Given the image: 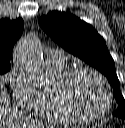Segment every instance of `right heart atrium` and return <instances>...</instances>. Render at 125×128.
Returning a JSON list of instances; mask_svg holds the SVG:
<instances>
[{
	"mask_svg": "<svg viewBox=\"0 0 125 128\" xmlns=\"http://www.w3.org/2000/svg\"><path fill=\"white\" fill-rule=\"evenodd\" d=\"M13 106L20 110H28L37 95V90L25 73L13 70L9 75Z\"/></svg>",
	"mask_w": 125,
	"mask_h": 128,
	"instance_id": "right-heart-atrium-1",
	"label": "right heart atrium"
}]
</instances>
